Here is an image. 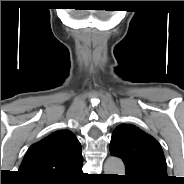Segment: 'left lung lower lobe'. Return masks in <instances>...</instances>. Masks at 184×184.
I'll return each instance as SVG.
<instances>
[{
	"mask_svg": "<svg viewBox=\"0 0 184 184\" xmlns=\"http://www.w3.org/2000/svg\"><path fill=\"white\" fill-rule=\"evenodd\" d=\"M130 184H138L136 182H133V181H130V180H127Z\"/></svg>",
	"mask_w": 184,
	"mask_h": 184,
	"instance_id": "0a47b994",
	"label": "left lung lower lobe"
}]
</instances>
